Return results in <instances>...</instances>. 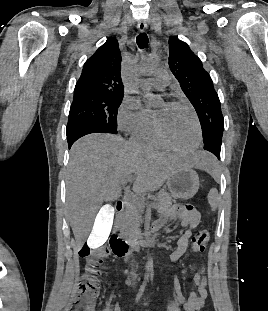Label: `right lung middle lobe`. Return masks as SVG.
<instances>
[{
    "label": "right lung middle lobe",
    "instance_id": "1",
    "mask_svg": "<svg viewBox=\"0 0 268 311\" xmlns=\"http://www.w3.org/2000/svg\"><path fill=\"white\" fill-rule=\"evenodd\" d=\"M123 96L74 93L67 132L81 125L97 127L104 133H117V113Z\"/></svg>",
    "mask_w": 268,
    "mask_h": 311
}]
</instances>
